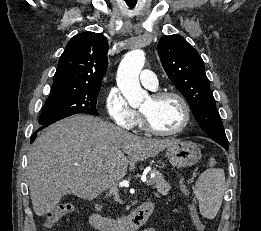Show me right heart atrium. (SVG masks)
I'll return each instance as SVG.
<instances>
[{"instance_id": "d8ad5b80", "label": "right heart atrium", "mask_w": 261, "mask_h": 231, "mask_svg": "<svg viewBox=\"0 0 261 231\" xmlns=\"http://www.w3.org/2000/svg\"><path fill=\"white\" fill-rule=\"evenodd\" d=\"M106 110L113 123L124 130H132L139 121V113L133 109L123 94L112 88L106 96Z\"/></svg>"}]
</instances>
